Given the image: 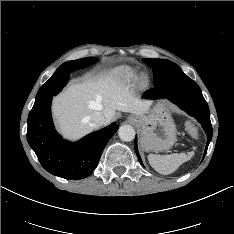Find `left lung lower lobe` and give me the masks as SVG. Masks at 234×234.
I'll list each match as a JSON object with an SVG mask.
<instances>
[{
	"label": "left lung lower lobe",
	"mask_w": 234,
	"mask_h": 234,
	"mask_svg": "<svg viewBox=\"0 0 234 234\" xmlns=\"http://www.w3.org/2000/svg\"><path fill=\"white\" fill-rule=\"evenodd\" d=\"M143 98L158 99L168 98L173 103L189 115L194 116L203 126L208 140L204 156L207 152L208 145L212 139V125L210 122V112L207 102L205 101L199 86L187 75L172 79L166 83L155 87L151 91L143 95ZM135 152L142 164L140 155L137 149V139L135 138Z\"/></svg>",
	"instance_id": "obj_1"
}]
</instances>
